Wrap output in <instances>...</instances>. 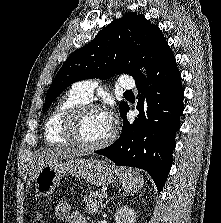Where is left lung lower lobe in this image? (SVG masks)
<instances>
[{
    "label": "left lung lower lobe",
    "instance_id": "0a47b994",
    "mask_svg": "<svg viewBox=\"0 0 221 223\" xmlns=\"http://www.w3.org/2000/svg\"><path fill=\"white\" fill-rule=\"evenodd\" d=\"M145 78L136 83L138 116L126 119L129 107L122 111V133L117 141L95 153L104 155L118 166L146 170L161 191L172 165L175 133L180 128L184 90L181 75L170 47ZM151 87L147 85L150 83ZM146 99L147 103L144 104Z\"/></svg>",
    "mask_w": 221,
    "mask_h": 223
}]
</instances>
